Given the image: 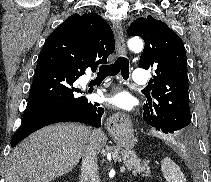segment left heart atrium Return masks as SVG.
Listing matches in <instances>:
<instances>
[{
    "instance_id": "left-heart-atrium-1",
    "label": "left heart atrium",
    "mask_w": 211,
    "mask_h": 182,
    "mask_svg": "<svg viewBox=\"0 0 211 182\" xmlns=\"http://www.w3.org/2000/svg\"><path fill=\"white\" fill-rule=\"evenodd\" d=\"M109 103L120 109H130L131 104H130V99L126 94H117L108 99Z\"/></svg>"
}]
</instances>
